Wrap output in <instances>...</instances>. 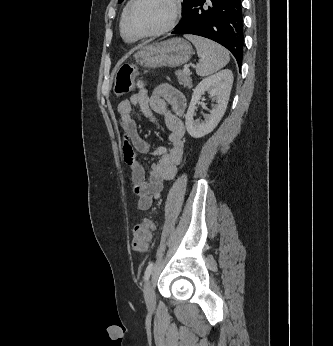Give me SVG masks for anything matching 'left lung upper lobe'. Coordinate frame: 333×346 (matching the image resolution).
<instances>
[{
	"mask_svg": "<svg viewBox=\"0 0 333 346\" xmlns=\"http://www.w3.org/2000/svg\"><path fill=\"white\" fill-rule=\"evenodd\" d=\"M122 1L123 0H118L119 3H121ZM190 1L191 0H184V7L182 8V14L184 13V10L186 9Z\"/></svg>",
	"mask_w": 333,
	"mask_h": 346,
	"instance_id": "5c2ea615",
	"label": "left lung upper lobe"
}]
</instances>
